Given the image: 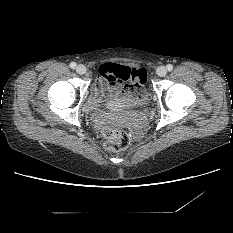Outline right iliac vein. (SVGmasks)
<instances>
[{
    "label": "right iliac vein",
    "mask_w": 233,
    "mask_h": 233,
    "mask_svg": "<svg viewBox=\"0 0 233 233\" xmlns=\"http://www.w3.org/2000/svg\"><path fill=\"white\" fill-rule=\"evenodd\" d=\"M76 72H77L78 74H80V75H83V74L86 73V67H85L84 65L80 64V65H78V66L76 67Z\"/></svg>",
    "instance_id": "1"
}]
</instances>
